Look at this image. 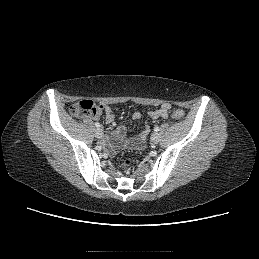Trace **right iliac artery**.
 I'll return each mask as SVG.
<instances>
[{
	"mask_svg": "<svg viewBox=\"0 0 259 259\" xmlns=\"http://www.w3.org/2000/svg\"><path fill=\"white\" fill-rule=\"evenodd\" d=\"M95 126H96L97 128H99V127H100V124H99V123H95Z\"/></svg>",
	"mask_w": 259,
	"mask_h": 259,
	"instance_id": "obj_1",
	"label": "right iliac artery"
}]
</instances>
